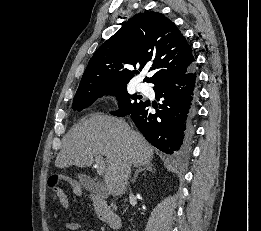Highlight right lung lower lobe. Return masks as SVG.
<instances>
[{
    "instance_id": "1",
    "label": "right lung lower lobe",
    "mask_w": 261,
    "mask_h": 231,
    "mask_svg": "<svg viewBox=\"0 0 261 231\" xmlns=\"http://www.w3.org/2000/svg\"><path fill=\"white\" fill-rule=\"evenodd\" d=\"M197 83L194 66L182 75L160 80L153 88L156 96L163 99L160 109L151 113L153 105L144 101L126 115L153 146L166 154H184L192 135Z\"/></svg>"
}]
</instances>
